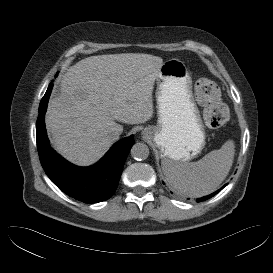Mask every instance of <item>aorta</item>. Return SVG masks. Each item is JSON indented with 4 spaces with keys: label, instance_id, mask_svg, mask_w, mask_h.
<instances>
[{
    "label": "aorta",
    "instance_id": "aorta-1",
    "mask_svg": "<svg viewBox=\"0 0 273 273\" xmlns=\"http://www.w3.org/2000/svg\"><path fill=\"white\" fill-rule=\"evenodd\" d=\"M130 153L136 160H145L149 156V148L145 143H135L132 146Z\"/></svg>",
    "mask_w": 273,
    "mask_h": 273
}]
</instances>
